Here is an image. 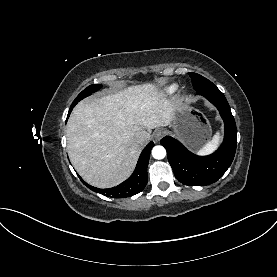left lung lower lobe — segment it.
<instances>
[{
	"label": "left lung lower lobe",
	"instance_id": "1",
	"mask_svg": "<svg viewBox=\"0 0 277 277\" xmlns=\"http://www.w3.org/2000/svg\"><path fill=\"white\" fill-rule=\"evenodd\" d=\"M197 94L214 104L224 120V141L219 149L208 156H197L172 137L166 136L160 141L166 148L175 177L188 186H204L219 180L230 167L237 144L236 124L223 93L216 88L201 90Z\"/></svg>",
	"mask_w": 277,
	"mask_h": 277
}]
</instances>
